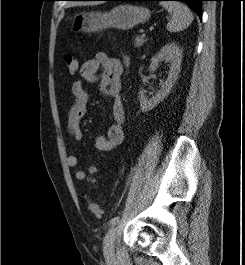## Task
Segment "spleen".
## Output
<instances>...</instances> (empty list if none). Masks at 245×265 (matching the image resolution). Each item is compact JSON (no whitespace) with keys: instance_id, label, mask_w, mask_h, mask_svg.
I'll use <instances>...</instances> for the list:
<instances>
[{"instance_id":"spleen-1","label":"spleen","mask_w":245,"mask_h":265,"mask_svg":"<svg viewBox=\"0 0 245 265\" xmlns=\"http://www.w3.org/2000/svg\"><path fill=\"white\" fill-rule=\"evenodd\" d=\"M160 5L171 14V20L167 24L168 31H181L192 23V12L185 4L176 1H163L160 2Z\"/></svg>"}]
</instances>
